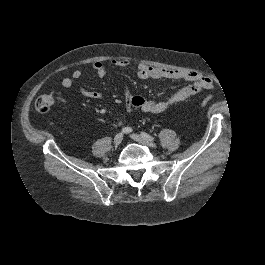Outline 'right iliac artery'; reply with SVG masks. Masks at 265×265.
Instances as JSON below:
<instances>
[{
  "mask_svg": "<svg viewBox=\"0 0 265 265\" xmlns=\"http://www.w3.org/2000/svg\"><path fill=\"white\" fill-rule=\"evenodd\" d=\"M132 130L133 129L131 127H124V128H122L121 132L125 133V134H129L132 132Z\"/></svg>",
  "mask_w": 265,
  "mask_h": 265,
  "instance_id": "obj_1",
  "label": "right iliac artery"
}]
</instances>
